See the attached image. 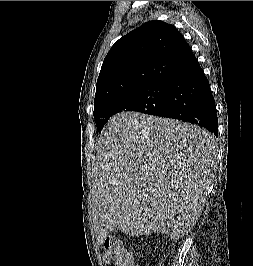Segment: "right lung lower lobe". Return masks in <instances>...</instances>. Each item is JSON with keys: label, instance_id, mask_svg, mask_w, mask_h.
<instances>
[{"label": "right lung lower lobe", "instance_id": "obj_1", "mask_svg": "<svg viewBox=\"0 0 253 266\" xmlns=\"http://www.w3.org/2000/svg\"><path fill=\"white\" fill-rule=\"evenodd\" d=\"M157 116L190 122L218 136L214 97L198 61L171 79L163 109Z\"/></svg>", "mask_w": 253, "mask_h": 266}]
</instances>
